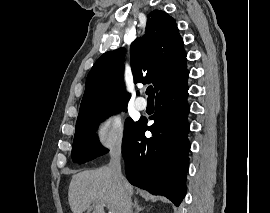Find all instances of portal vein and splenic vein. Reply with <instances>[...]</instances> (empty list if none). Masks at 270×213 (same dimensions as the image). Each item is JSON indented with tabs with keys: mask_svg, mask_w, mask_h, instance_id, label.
<instances>
[{
	"mask_svg": "<svg viewBox=\"0 0 270 213\" xmlns=\"http://www.w3.org/2000/svg\"><path fill=\"white\" fill-rule=\"evenodd\" d=\"M105 206L109 208V213H115L107 204Z\"/></svg>",
	"mask_w": 270,
	"mask_h": 213,
	"instance_id": "portal-vein-and-splenic-vein-1",
	"label": "portal vein and splenic vein"
}]
</instances>
